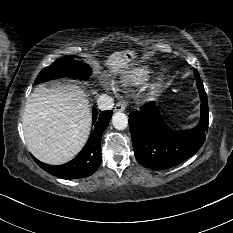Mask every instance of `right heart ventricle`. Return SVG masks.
<instances>
[{"label":"right heart ventricle","mask_w":233,"mask_h":233,"mask_svg":"<svg viewBox=\"0 0 233 233\" xmlns=\"http://www.w3.org/2000/svg\"><path fill=\"white\" fill-rule=\"evenodd\" d=\"M151 71L148 67L141 66L129 70L124 81L129 85H140L150 77Z\"/></svg>","instance_id":"1"}]
</instances>
